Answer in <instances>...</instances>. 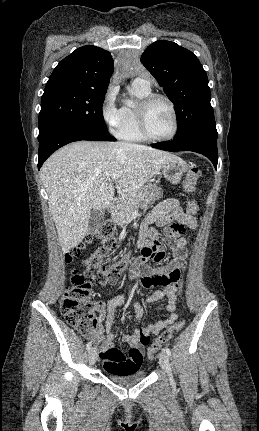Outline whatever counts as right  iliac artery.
Instances as JSON below:
<instances>
[{
	"label": "right iliac artery",
	"instance_id": "right-iliac-artery-1",
	"mask_svg": "<svg viewBox=\"0 0 259 431\" xmlns=\"http://www.w3.org/2000/svg\"><path fill=\"white\" fill-rule=\"evenodd\" d=\"M86 349H87V350H90V349H91V342H88V344H87V346H86Z\"/></svg>",
	"mask_w": 259,
	"mask_h": 431
}]
</instances>
